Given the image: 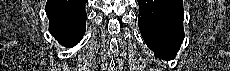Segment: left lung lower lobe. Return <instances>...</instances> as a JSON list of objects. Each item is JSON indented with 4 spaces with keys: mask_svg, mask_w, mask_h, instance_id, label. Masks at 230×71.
Here are the masks:
<instances>
[{
    "mask_svg": "<svg viewBox=\"0 0 230 71\" xmlns=\"http://www.w3.org/2000/svg\"><path fill=\"white\" fill-rule=\"evenodd\" d=\"M141 35L155 56L175 59L184 38L182 0H138Z\"/></svg>",
    "mask_w": 230,
    "mask_h": 71,
    "instance_id": "left-lung-lower-lobe-1",
    "label": "left lung lower lobe"
}]
</instances>
